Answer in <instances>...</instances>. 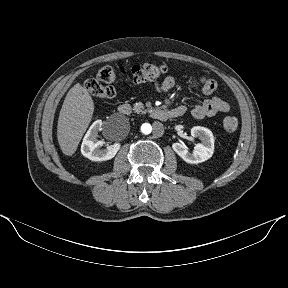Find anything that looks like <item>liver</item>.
Returning <instances> with one entry per match:
<instances>
[{
    "instance_id": "liver-1",
    "label": "liver",
    "mask_w": 288,
    "mask_h": 288,
    "mask_svg": "<svg viewBox=\"0 0 288 288\" xmlns=\"http://www.w3.org/2000/svg\"><path fill=\"white\" fill-rule=\"evenodd\" d=\"M94 112V102L87 89L79 83L67 93L60 110L57 139L62 152L71 156L77 150Z\"/></svg>"
}]
</instances>
